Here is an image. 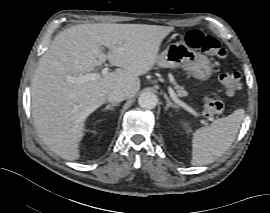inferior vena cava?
I'll list each match as a JSON object with an SVG mask.
<instances>
[{
  "mask_svg": "<svg viewBox=\"0 0 270 213\" xmlns=\"http://www.w3.org/2000/svg\"><path fill=\"white\" fill-rule=\"evenodd\" d=\"M127 98V95L122 90H113L108 94L107 100L111 102L112 104L120 103L121 101L125 100Z\"/></svg>",
  "mask_w": 270,
  "mask_h": 213,
  "instance_id": "602c4592",
  "label": "inferior vena cava"
}]
</instances>
